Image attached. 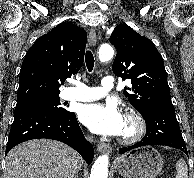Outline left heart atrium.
<instances>
[{
  "mask_svg": "<svg viewBox=\"0 0 194 178\" xmlns=\"http://www.w3.org/2000/svg\"><path fill=\"white\" fill-rule=\"evenodd\" d=\"M80 121L95 134L119 136L124 132L125 117L113 103H93L81 107Z\"/></svg>",
  "mask_w": 194,
  "mask_h": 178,
  "instance_id": "1",
  "label": "left heart atrium"
}]
</instances>
